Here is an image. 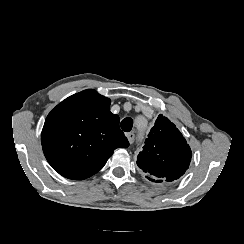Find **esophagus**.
<instances>
[{
    "instance_id": "1",
    "label": "esophagus",
    "mask_w": 244,
    "mask_h": 244,
    "mask_svg": "<svg viewBox=\"0 0 244 244\" xmlns=\"http://www.w3.org/2000/svg\"><path fill=\"white\" fill-rule=\"evenodd\" d=\"M127 138H128L129 143L132 144L134 142V140H135L134 132L132 131V132L128 133L127 134Z\"/></svg>"
}]
</instances>
